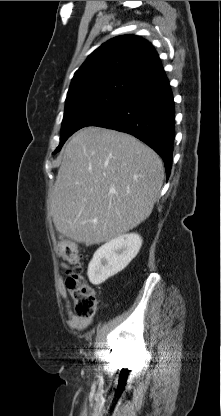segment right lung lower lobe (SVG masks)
<instances>
[{
  "instance_id": "1",
  "label": "right lung lower lobe",
  "mask_w": 221,
  "mask_h": 416,
  "mask_svg": "<svg viewBox=\"0 0 221 416\" xmlns=\"http://www.w3.org/2000/svg\"><path fill=\"white\" fill-rule=\"evenodd\" d=\"M174 122L173 96L165 78L160 83L131 92L93 126L129 133L145 142L162 157L168 179L172 166Z\"/></svg>"
}]
</instances>
